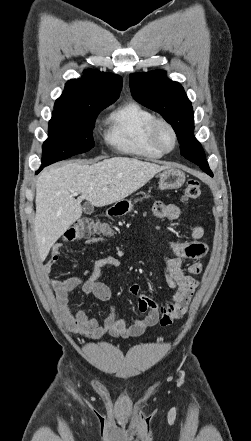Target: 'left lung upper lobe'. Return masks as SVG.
Listing matches in <instances>:
<instances>
[{
    "label": "left lung upper lobe",
    "instance_id": "left-lung-upper-lobe-1",
    "mask_svg": "<svg viewBox=\"0 0 251 441\" xmlns=\"http://www.w3.org/2000/svg\"><path fill=\"white\" fill-rule=\"evenodd\" d=\"M130 90L136 101L160 113L176 132L181 155L211 174L205 153L195 139L191 102L183 87L163 71L130 75Z\"/></svg>",
    "mask_w": 251,
    "mask_h": 441
}]
</instances>
